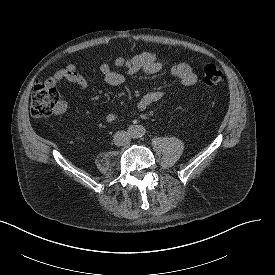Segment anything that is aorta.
Here are the masks:
<instances>
[{
	"instance_id": "1",
	"label": "aorta",
	"mask_w": 275,
	"mask_h": 275,
	"mask_svg": "<svg viewBox=\"0 0 275 275\" xmlns=\"http://www.w3.org/2000/svg\"><path fill=\"white\" fill-rule=\"evenodd\" d=\"M144 131L143 127L135 125L129 128L128 134L132 138H138L144 134Z\"/></svg>"
}]
</instances>
